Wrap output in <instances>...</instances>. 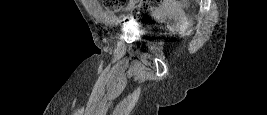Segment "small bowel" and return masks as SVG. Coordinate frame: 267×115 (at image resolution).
<instances>
[{"label": "small bowel", "instance_id": "c3829d8e", "mask_svg": "<svg viewBox=\"0 0 267 115\" xmlns=\"http://www.w3.org/2000/svg\"><path fill=\"white\" fill-rule=\"evenodd\" d=\"M87 4L92 10V12L100 19L110 20L112 19V15L106 12L101 4L96 0H87ZM177 5L172 1H166L164 4L157 8V13H164L167 11H176Z\"/></svg>", "mask_w": 267, "mask_h": 115}]
</instances>
